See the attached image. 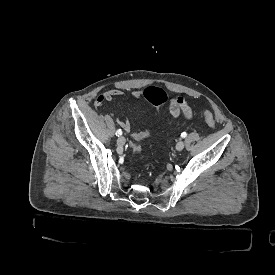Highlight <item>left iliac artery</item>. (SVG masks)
<instances>
[{"instance_id":"44dca946","label":"left iliac artery","mask_w":275,"mask_h":275,"mask_svg":"<svg viewBox=\"0 0 275 275\" xmlns=\"http://www.w3.org/2000/svg\"><path fill=\"white\" fill-rule=\"evenodd\" d=\"M186 136H187V133H186V132L181 133V137H182V138H185Z\"/></svg>"}]
</instances>
